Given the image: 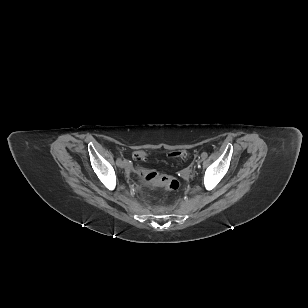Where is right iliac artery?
Returning a JSON list of instances; mask_svg holds the SVG:
<instances>
[{"mask_svg": "<svg viewBox=\"0 0 308 308\" xmlns=\"http://www.w3.org/2000/svg\"><path fill=\"white\" fill-rule=\"evenodd\" d=\"M120 161H121V159L118 158V159L116 160V164L118 165V164L120 163Z\"/></svg>", "mask_w": 308, "mask_h": 308, "instance_id": "82829eb1", "label": "right iliac artery"}]
</instances>
